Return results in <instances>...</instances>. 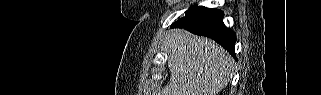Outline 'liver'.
<instances>
[{
	"mask_svg": "<svg viewBox=\"0 0 321 95\" xmlns=\"http://www.w3.org/2000/svg\"><path fill=\"white\" fill-rule=\"evenodd\" d=\"M168 48L170 82L158 95H218L229 83L233 59L213 40L175 29Z\"/></svg>",
	"mask_w": 321,
	"mask_h": 95,
	"instance_id": "1",
	"label": "liver"
}]
</instances>
